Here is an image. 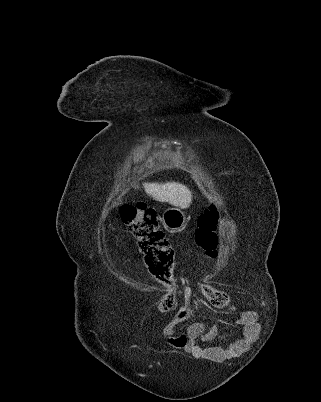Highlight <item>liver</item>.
<instances>
[{"label": "liver", "instance_id": "liver-1", "mask_svg": "<svg viewBox=\"0 0 321 402\" xmlns=\"http://www.w3.org/2000/svg\"><path fill=\"white\" fill-rule=\"evenodd\" d=\"M143 186L145 192L159 202H168L183 209L188 208L192 202L191 191L178 182L144 183Z\"/></svg>", "mask_w": 321, "mask_h": 402}]
</instances>
